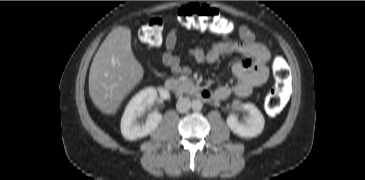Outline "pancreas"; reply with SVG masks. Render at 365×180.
I'll use <instances>...</instances> for the list:
<instances>
[{
    "mask_svg": "<svg viewBox=\"0 0 365 180\" xmlns=\"http://www.w3.org/2000/svg\"><path fill=\"white\" fill-rule=\"evenodd\" d=\"M179 89L183 92H189L194 88L193 83L187 78H179Z\"/></svg>",
    "mask_w": 365,
    "mask_h": 180,
    "instance_id": "cf45deb5",
    "label": "pancreas"
}]
</instances>
